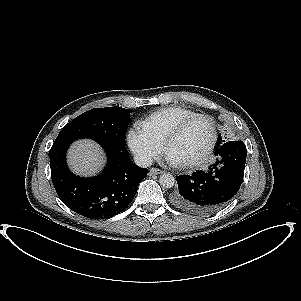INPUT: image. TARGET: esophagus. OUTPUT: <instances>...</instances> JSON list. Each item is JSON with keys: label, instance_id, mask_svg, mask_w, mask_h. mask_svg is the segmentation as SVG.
I'll list each match as a JSON object with an SVG mask.
<instances>
[{"label": "esophagus", "instance_id": "esophagus-1", "mask_svg": "<svg viewBox=\"0 0 301 301\" xmlns=\"http://www.w3.org/2000/svg\"><path fill=\"white\" fill-rule=\"evenodd\" d=\"M161 173H163V171L158 168H151L149 171L150 175L161 174Z\"/></svg>", "mask_w": 301, "mask_h": 301}]
</instances>
